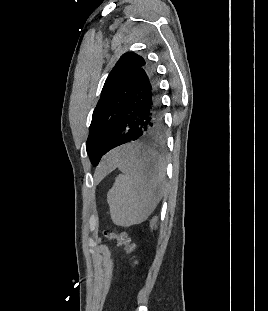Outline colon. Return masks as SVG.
Segmentation results:
<instances>
[{
  "label": "colon",
  "mask_w": 268,
  "mask_h": 311,
  "mask_svg": "<svg viewBox=\"0 0 268 311\" xmlns=\"http://www.w3.org/2000/svg\"><path fill=\"white\" fill-rule=\"evenodd\" d=\"M104 234L109 240H114L118 246L122 247L127 253L131 254L135 264L139 263V254L136 249V245L126 233L105 231Z\"/></svg>",
  "instance_id": "colon-1"
}]
</instances>
